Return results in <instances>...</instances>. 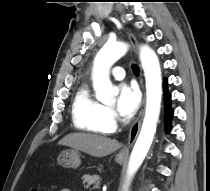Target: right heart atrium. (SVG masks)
<instances>
[{
    "instance_id": "d8ad5b80",
    "label": "right heart atrium",
    "mask_w": 210,
    "mask_h": 191,
    "mask_svg": "<svg viewBox=\"0 0 210 191\" xmlns=\"http://www.w3.org/2000/svg\"><path fill=\"white\" fill-rule=\"evenodd\" d=\"M108 116L110 120H113L115 118V113L112 109H108Z\"/></svg>"
}]
</instances>
